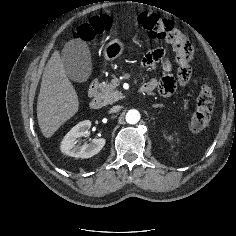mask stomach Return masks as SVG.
Here are the masks:
<instances>
[{
	"instance_id": "obj_1",
	"label": "stomach",
	"mask_w": 236,
	"mask_h": 236,
	"mask_svg": "<svg viewBox=\"0 0 236 236\" xmlns=\"http://www.w3.org/2000/svg\"><path fill=\"white\" fill-rule=\"evenodd\" d=\"M124 50V44L119 39L111 40L104 49V57L108 61L118 58Z\"/></svg>"
}]
</instances>
